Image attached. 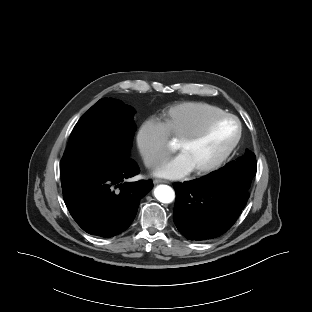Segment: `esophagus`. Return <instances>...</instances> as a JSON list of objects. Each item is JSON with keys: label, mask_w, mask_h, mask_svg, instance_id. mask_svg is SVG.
<instances>
[{"label": "esophagus", "mask_w": 312, "mask_h": 312, "mask_svg": "<svg viewBox=\"0 0 312 312\" xmlns=\"http://www.w3.org/2000/svg\"><path fill=\"white\" fill-rule=\"evenodd\" d=\"M153 183H154V184H159V183L169 184L168 181L162 180V179H155V180L153 181Z\"/></svg>", "instance_id": "34e87169"}]
</instances>
